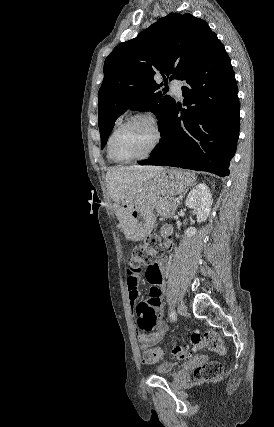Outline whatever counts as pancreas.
Masks as SVG:
<instances>
[{"label": "pancreas", "instance_id": "1", "mask_svg": "<svg viewBox=\"0 0 274 427\" xmlns=\"http://www.w3.org/2000/svg\"><path fill=\"white\" fill-rule=\"evenodd\" d=\"M155 208L157 215H162V217H172V215L175 214L177 204L174 202L173 198H169V200L159 198L158 202L155 204Z\"/></svg>", "mask_w": 274, "mask_h": 427}]
</instances>
